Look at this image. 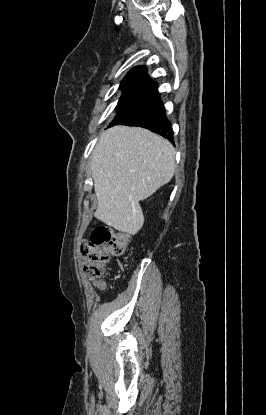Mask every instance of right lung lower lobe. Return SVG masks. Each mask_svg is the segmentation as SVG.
Here are the masks:
<instances>
[{"instance_id": "1", "label": "right lung lower lobe", "mask_w": 266, "mask_h": 415, "mask_svg": "<svg viewBox=\"0 0 266 415\" xmlns=\"http://www.w3.org/2000/svg\"><path fill=\"white\" fill-rule=\"evenodd\" d=\"M114 125L143 127L163 136L174 144L173 130L166 118L165 108L157 91L119 112L109 127Z\"/></svg>"}]
</instances>
